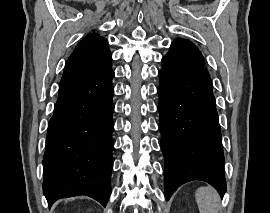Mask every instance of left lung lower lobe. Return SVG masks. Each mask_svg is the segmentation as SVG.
Wrapping results in <instances>:
<instances>
[{"label": "left lung lower lobe", "mask_w": 270, "mask_h": 213, "mask_svg": "<svg viewBox=\"0 0 270 213\" xmlns=\"http://www.w3.org/2000/svg\"><path fill=\"white\" fill-rule=\"evenodd\" d=\"M158 76L166 200L191 180L206 181L223 196L225 159L209 73L162 69Z\"/></svg>", "instance_id": "obj_1"}]
</instances>
